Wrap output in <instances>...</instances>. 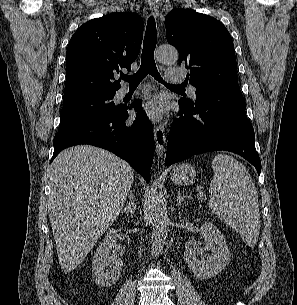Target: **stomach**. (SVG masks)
<instances>
[{
  "label": "stomach",
  "instance_id": "stomach-1",
  "mask_svg": "<svg viewBox=\"0 0 297 305\" xmlns=\"http://www.w3.org/2000/svg\"><path fill=\"white\" fill-rule=\"evenodd\" d=\"M170 178L176 184L189 185L196 179V170L190 164H179L172 169Z\"/></svg>",
  "mask_w": 297,
  "mask_h": 305
}]
</instances>
